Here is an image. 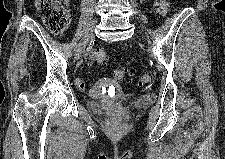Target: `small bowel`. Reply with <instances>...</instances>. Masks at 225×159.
Masks as SVG:
<instances>
[{
    "instance_id": "obj_1",
    "label": "small bowel",
    "mask_w": 225,
    "mask_h": 159,
    "mask_svg": "<svg viewBox=\"0 0 225 159\" xmlns=\"http://www.w3.org/2000/svg\"><path fill=\"white\" fill-rule=\"evenodd\" d=\"M85 60L88 64H91L94 60V50H90L87 54H86V57H85ZM102 84H108L110 83L109 80L107 79H104V80H101ZM76 85L77 87L80 89V90H83V91H89L90 93H93L95 92L96 88H93L91 90H87V87H86V84L85 82L81 79V78H78L76 79Z\"/></svg>"
}]
</instances>
